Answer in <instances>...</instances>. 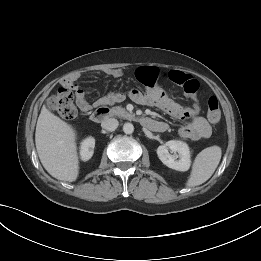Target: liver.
<instances>
[{"mask_svg":"<svg viewBox=\"0 0 261 261\" xmlns=\"http://www.w3.org/2000/svg\"><path fill=\"white\" fill-rule=\"evenodd\" d=\"M35 143L39 159L54 178L73 182L79 174V158L74 128L45 106L37 120Z\"/></svg>","mask_w":261,"mask_h":261,"instance_id":"liver-1","label":"liver"}]
</instances>
